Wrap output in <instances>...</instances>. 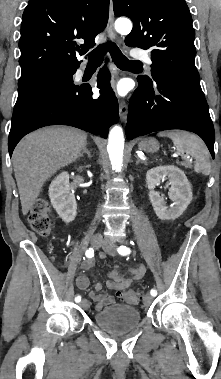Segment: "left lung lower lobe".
Listing matches in <instances>:
<instances>
[{"label":"left lung lower lobe","mask_w":221,"mask_h":379,"mask_svg":"<svg viewBox=\"0 0 221 379\" xmlns=\"http://www.w3.org/2000/svg\"><path fill=\"white\" fill-rule=\"evenodd\" d=\"M150 80L138 78L129 105L128 139L155 131L183 129L198 134L214 156V127L199 80L153 70Z\"/></svg>","instance_id":"1"}]
</instances>
